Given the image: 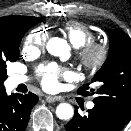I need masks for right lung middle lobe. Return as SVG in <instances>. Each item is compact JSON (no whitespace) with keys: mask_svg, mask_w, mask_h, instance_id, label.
<instances>
[{"mask_svg":"<svg viewBox=\"0 0 131 131\" xmlns=\"http://www.w3.org/2000/svg\"><path fill=\"white\" fill-rule=\"evenodd\" d=\"M43 20L44 18L25 16L10 29L8 44L0 47V84L7 78L6 63L15 62L19 58V45L25 32Z\"/></svg>","mask_w":131,"mask_h":131,"instance_id":"1","label":"right lung middle lobe"}]
</instances>
